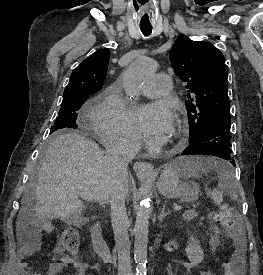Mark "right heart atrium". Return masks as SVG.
Here are the masks:
<instances>
[{
    "instance_id": "d8ad5b80",
    "label": "right heart atrium",
    "mask_w": 263,
    "mask_h": 275,
    "mask_svg": "<svg viewBox=\"0 0 263 275\" xmlns=\"http://www.w3.org/2000/svg\"><path fill=\"white\" fill-rule=\"evenodd\" d=\"M91 131L108 147L134 150L139 139L131 125V114L114 89L101 94L89 111Z\"/></svg>"
}]
</instances>
